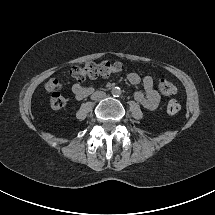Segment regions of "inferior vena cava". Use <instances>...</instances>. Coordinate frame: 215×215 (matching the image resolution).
<instances>
[{"label": "inferior vena cava", "mask_w": 215, "mask_h": 215, "mask_svg": "<svg viewBox=\"0 0 215 215\" xmlns=\"http://www.w3.org/2000/svg\"><path fill=\"white\" fill-rule=\"evenodd\" d=\"M105 96H106V94L104 92H99L98 95L96 96V98H103ZM93 99H95V97H93Z\"/></svg>", "instance_id": "inferior-vena-cava-1"}]
</instances>
